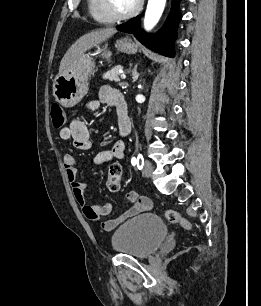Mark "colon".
Here are the masks:
<instances>
[{
  "instance_id": "obj_1",
  "label": "colon",
  "mask_w": 261,
  "mask_h": 306,
  "mask_svg": "<svg viewBox=\"0 0 261 306\" xmlns=\"http://www.w3.org/2000/svg\"><path fill=\"white\" fill-rule=\"evenodd\" d=\"M51 119L53 126L57 129L62 128L66 122V114L64 109L58 105L53 104L50 110ZM122 179V167L119 163H113L108 171L107 175V187L110 191L116 192L120 189ZM166 218L172 224L180 225L181 227L188 229L190 228V223L185 219L180 213L175 210H167Z\"/></svg>"
}]
</instances>
